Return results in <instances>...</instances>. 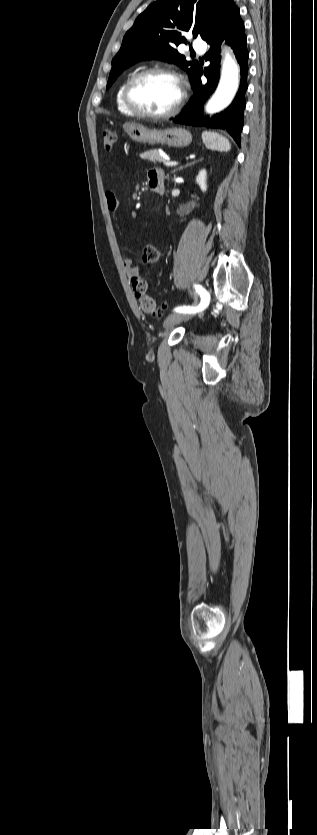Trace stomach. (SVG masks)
<instances>
[{
    "label": "stomach",
    "mask_w": 317,
    "mask_h": 835,
    "mask_svg": "<svg viewBox=\"0 0 317 835\" xmlns=\"http://www.w3.org/2000/svg\"><path fill=\"white\" fill-rule=\"evenodd\" d=\"M123 128L128 136L138 143L165 144L180 148L186 147L192 142L191 133L183 128L155 129L147 128L138 123H125Z\"/></svg>",
    "instance_id": "stomach-1"
}]
</instances>
